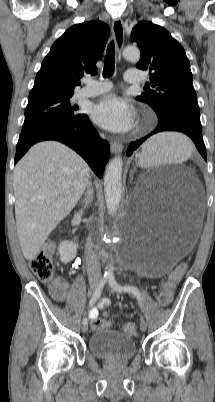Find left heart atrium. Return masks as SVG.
Returning a JSON list of instances; mask_svg holds the SVG:
<instances>
[{"label":"left heart atrium","mask_w":215,"mask_h":402,"mask_svg":"<svg viewBox=\"0 0 215 402\" xmlns=\"http://www.w3.org/2000/svg\"><path fill=\"white\" fill-rule=\"evenodd\" d=\"M92 118L100 126L113 132L129 130L134 123L132 106L115 94L103 97L92 109Z\"/></svg>","instance_id":"obj_1"}]
</instances>
